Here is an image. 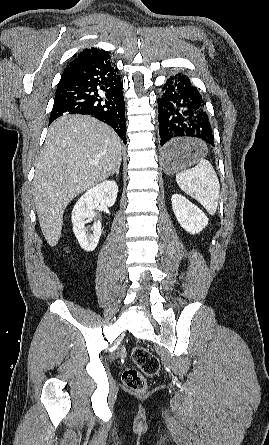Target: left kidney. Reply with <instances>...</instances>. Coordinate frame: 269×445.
Segmentation results:
<instances>
[{"label":"left kidney","instance_id":"obj_1","mask_svg":"<svg viewBox=\"0 0 269 445\" xmlns=\"http://www.w3.org/2000/svg\"><path fill=\"white\" fill-rule=\"evenodd\" d=\"M172 208L178 223L191 234L201 232L208 225V218L197 206L180 194L172 195Z\"/></svg>","mask_w":269,"mask_h":445}]
</instances>
